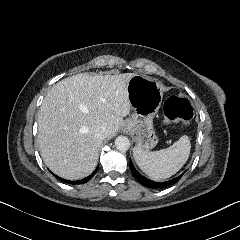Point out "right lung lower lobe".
Wrapping results in <instances>:
<instances>
[{"label": "right lung lower lobe", "mask_w": 240, "mask_h": 240, "mask_svg": "<svg viewBox=\"0 0 240 240\" xmlns=\"http://www.w3.org/2000/svg\"><path fill=\"white\" fill-rule=\"evenodd\" d=\"M96 171H97V169H96L90 176H88V177H86V178H84V179H82V180H79V181H68V180H64V179H62V178H60V177H58V176H56V175H54V174H53V175H54L56 178L60 179L61 181L66 182V183H71V184H83V183H86L88 180H90V179L95 175Z\"/></svg>", "instance_id": "right-lung-lower-lobe-1"}]
</instances>
